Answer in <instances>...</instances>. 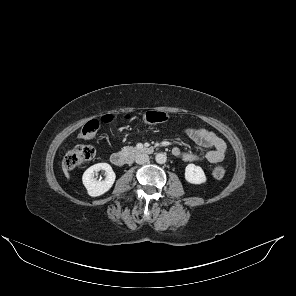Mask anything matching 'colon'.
I'll use <instances>...</instances> for the list:
<instances>
[{
  "label": "colon",
  "instance_id": "1",
  "mask_svg": "<svg viewBox=\"0 0 296 296\" xmlns=\"http://www.w3.org/2000/svg\"><path fill=\"white\" fill-rule=\"evenodd\" d=\"M128 119L130 116L127 117ZM113 117L106 115L101 118V122L110 123ZM141 120L145 124H159L169 120V115L161 111H148L144 113ZM100 122L98 120H91L87 122L81 129L79 136L81 139H90L98 130ZM95 150L93 147L88 145L79 144L73 147L67 152L64 158V167L67 170H73L87 164L93 159ZM226 169L223 165H216L212 169V175L215 178H223L225 176Z\"/></svg>",
  "mask_w": 296,
  "mask_h": 296
}]
</instances>
